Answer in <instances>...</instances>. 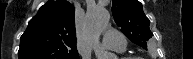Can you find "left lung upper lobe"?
Instances as JSON below:
<instances>
[{"instance_id": "1", "label": "left lung upper lobe", "mask_w": 193, "mask_h": 59, "mask_svg": "<svg viewBox=\"0 0 193 59\" xmlns=\"http://www.w3.org/2000/svg\"><path fill=\"white\" fill-rule=\"evenodd\" d=\"M114 20L122 33L135 44L147 50V41L153 36L149 19L138 0H112Z\"/></svg>"}]
</instances>
